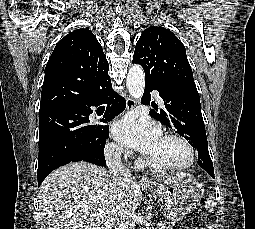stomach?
<instances>
[{"label":"stomach","mask_w":255,"mask_h":229,"mask_svg":"<svg viewBox=\"0 0 255 229\" xmlns=\"http://www.w3.org/2000/svg\"><path fill=\"white\" fill-rule=\"evenodd\" d=\"M144 189L164 199V216L171 221L184 218L200 204L204 194L198 181L185 172L172 174L163 182Z\"/></svg>","instance_id":"stomach-1"}]
</instances>
